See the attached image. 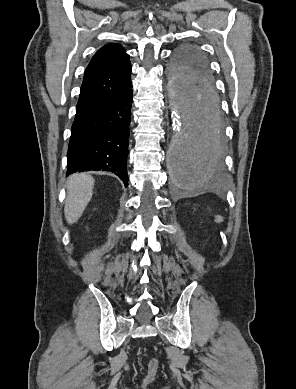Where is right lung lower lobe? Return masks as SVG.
I'll list each match as a JSON object with an SVG mask.
<instances>
[{"mask_svg": "<svg viewBox=\"0 0 296 389\" xmlns=\"http://www.w3.org/2000/svg\"><path fill=\"white\" fill-rule=\"evenodd\" d=\"M132 84L122 92L77 108L67 152V175L102 170L128 186L127 155Z\"/></svg>", "mask_w": 296, "mask_h": 389, "instance_id": "1", "label": "right lung lower lobe"}]
</instances>
